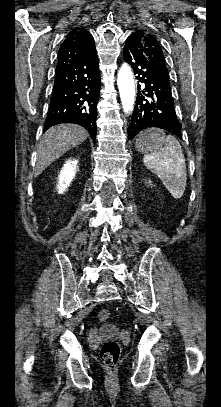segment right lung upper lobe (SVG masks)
<instances>
[{"label": "right lung upper lobe", "instance_id": "obj_1", "mask_svg": "<svg viewBox=\"0 0 221 407\" xmlns=\"http://www.w3.org/2000/svg\"><path fill=\"white\" fill-rule=\"evenodd\" d=\"M93 47V36L87 30L70 31L59 48L56 71L88 56Z\"/></svg>", "mask_w": 221, "mask_h": 407}]
</instances>
